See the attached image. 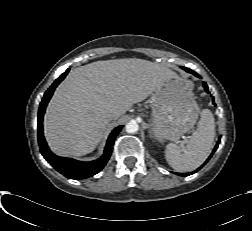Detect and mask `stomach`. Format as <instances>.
I'll return each mask as SVG.
<instances>
[{
    "label": "stomach",
    "instance_id": "1",
    "mask_svg": "<svg viewBox=\"0 0 252 231\" xmlns=\"http://www.w3.org/2000/svg\"><path fill=\"white\" fill-rule=\"evenodd\" d=\"M193 83L174 74L152 95V127L160 141H177L189 132L198 118Z\"/></svg>",
    "mask_w": 252,
    "mask_h": 231
}]
</instances>
